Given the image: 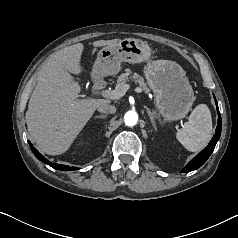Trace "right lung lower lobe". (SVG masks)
Segmentation results:
<instances>
[{"instance_id": "obj_1", "label": "right lung lower lobe", "mask_w": 238, "mask_h": 238, "mask_svg": "<svg viewBox=\"0 0 238 238\" xmlns=\"http://www.w3.org/2000/svg\"><path fill=\"white\" fill-rule=\"evenodd\" d=\"M30 144V147H31V150L32 152L34 153V155L40 160L42 161L43 163L45 164H48L50 165L52 168L54 169H57V170H61V171H68V170H75L77 168L73 167V168H70L69 166H66V165H61V164H55V163H51L49 162L46 158H44L38 151L36 148H34L32 146V144L29 142Z\"/></svg>"}]
</instances>
